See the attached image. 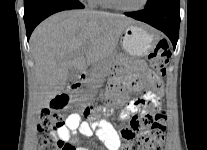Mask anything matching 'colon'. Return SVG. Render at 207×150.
Wrapping results in <instances>:
<instances>
[{"label": "colon", "instance_id": "colon-1", "mask_svg": "<svg viewBox=\"0 0 207 150\" xmlns=\"http://www.w3.org/2000/svg\"><path fill=\"white\" fill-rule=\"evenodd\" d=\"M170 57V49L166 40H160L155 49L149 54L148 60L154 72L153 75H165ZM162 86L160 77H149V86L144 87V95L140 99L141 114L147 123L142 129V123L137 117L131 119V127L121 131L122 150H162L165 141L167 116L164 111H158L153 117L150 111H155L160 105L157 87ZM63 105H71L66 95H60L52 100L50 109L43 110L39 115L38 130L42 133L57 129L64 125L66 115L62 111ZM136 105L134 102L131 104ZM144 111H149L147 114ZM39 150H74L70 143L56 140L50 136H43Z\"/></svg>", "mask_w": 207, "mask_h": 150}]
</instances>
